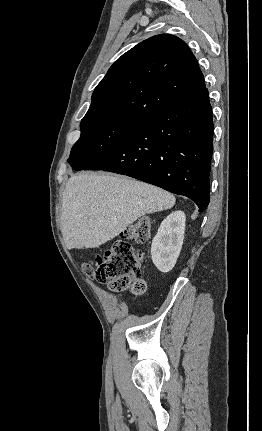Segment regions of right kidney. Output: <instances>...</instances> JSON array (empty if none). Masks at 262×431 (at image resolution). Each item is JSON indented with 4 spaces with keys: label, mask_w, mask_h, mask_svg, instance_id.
Masks as SVG:
<instances>
[{
    "label": "right kidney",
    "mask_w": 262,
    "mask_h": 431,
    "mask_svg": "<svg viewBox=\"0 0 262 431\" xmlns=\"http://www.w3.org/2000/svg\"><path fill=\"white\" fill-rule=\"evenodd\" d=\"M185 214L175 211L161 223L151 246L154 265L161 272H169L180 254L185 231Z\"/></svg>",
    "instance_id": "right-kidney-1"
}]
</instances>
